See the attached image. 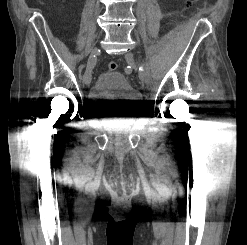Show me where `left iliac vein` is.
<instances>
[{"label":"left iliac vein","mask_w":247,"mask_h":245,"mask_svg":"<svg viewBox=\"0 0 247 245\" xmlns=\"http://www.w3.org/2000/svg\"><path fill=\"white\" fill-rule=\"evenodd\" d=\"M125 56H126L127 62L131 65V67L134 69H137V62H136L133 54L128 52V53H126ZM139 76H140V79L143 83H147L149 81V75L146 72V70L139 71Z\"/></svg>","instance_id":"1"}]
</instances>
